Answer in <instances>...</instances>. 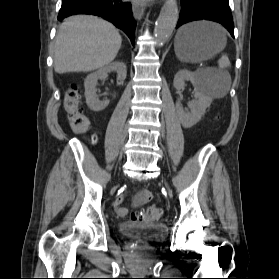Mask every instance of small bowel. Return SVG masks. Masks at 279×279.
<instances>
[{
	"instance_id": "small-bowel-1",
	"label": "small bowel",
	"mask_w": 279,
	"mask_h": 279,
	"mask_svg": "<svg viewBox=\"0 0 279 279\" xmlns=\"http://www.w3.org/2000/svg\"><path fill=\"white\" fill-rule=\"evenodd\" d=\"M150 198H151V193L146 189H141L137 192V194L134 197V205L135 206L142 205L147 201H149ZM122 200H123V196H119L114 203L115 213L120 217H123L127 214V210L121 206Z\"/></svg>"
}]
</instances>
